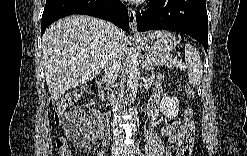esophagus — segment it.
I'll use <instances>...</instances> for the list:
<instances>
[{"label":"esophagus","instance_id":"34e87169","mask_svg":"<svg viewBox=\"0 0 247 156\" xmlns=\"http://www.w3.org/2000/svg\"><path fill=\"white\" fill-rule=\"evenodd\" d=\"M128 15H129L130 29L132 32H136L137 31L136 12L131 6L128 7Z\"/></svg>","mask_w":247,"mask_h":156}]
</instances>
